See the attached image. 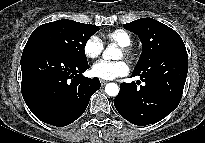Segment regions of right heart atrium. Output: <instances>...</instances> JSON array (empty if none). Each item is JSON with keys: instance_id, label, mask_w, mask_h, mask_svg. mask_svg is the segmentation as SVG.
<instances>
[{"instance_id": "obj_1", "label": "right heart atrium", "mask_w": 205, "mask_h": 143, "mask_svg": "<svg viewBox=\"0 0 205 143\" xmlns=\"http://www.w3.org/2000/svg\"><path fill=\"white\" fill-rule=\"evenodd\" d=\"M104 44L96 35H91L83 45V53L88 59H96L103 52Z\"/></svg>"}]
</instances>
